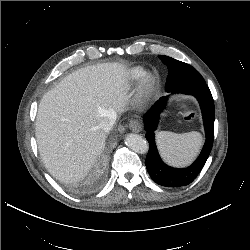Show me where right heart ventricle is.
Returning a JSON list of instances; mask_svg holds the SVG:
<instances>
[{"instance_id":"right-heart-ventricle-1","label":"right heart ventricle","mask_w":250,"mask_h":250,"mask_svg":"<svg viewBox=\"0 0 250 250\" xmlns=\"http://www.w3.org/2000/svg\"><path fill=\"white\" fill-rule=\"evenodd\" d=\"M145 70L142 67H134L128 72V80L130 82H136L144 75Z\"/></svg>"}]
</instances>
